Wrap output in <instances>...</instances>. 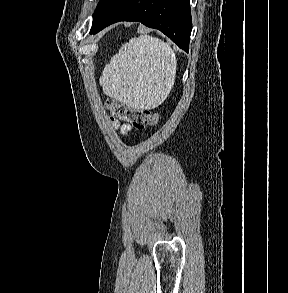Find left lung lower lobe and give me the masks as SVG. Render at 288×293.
Instances as JSON below:
<instances>
[{
    "instance_id": "0a47b994",
    "label": "left lung lower lobe",
    "mask_w": 288,
    "mask_h": 293,
    "mask_svg": "<svg viewBox=\"0 0 288 293\" xmlns=\"http://www.w3.org/2000/svg\"><path fill=\"white\" fill-rule=\"evenodd\" d=\"M119 21H139L163 32L181 49L189 51L192 30L190 0H120L90 33Z\"/></svg>"
}]
</instances>
